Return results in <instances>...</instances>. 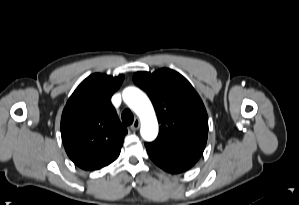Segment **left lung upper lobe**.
I'll return each mask as SVG.
<instances>
[{
  "label": "left lung upper lobe",
  "instance_id": "5c2ea615",
  "mask_svg": "<svg viewBox=\"0 0 299 205\" xmlns=\"http://www.w3.org/2000/svg\"><path fill=\"white\" fill-rule=\"evenodd\" d=\"M134 83L146 91L161 124L157 139L181 138L206 143L208 116L192 85L178 72L162 68L137 72Z\"/></svg>",
  "mask_w": 299,
  "mask_h": 205
}]
</instances>
